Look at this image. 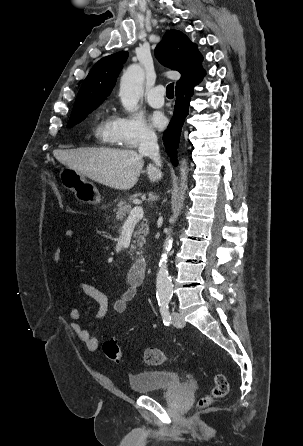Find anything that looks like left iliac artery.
Listing matches in <instances>:
<instances>
[{"label": "left iliac artery", "instance_id": "44dca946", "mask_svg": "<svg viewBox=\"0 0 303 446\" xmlns=\"http://www.w3.org/2000/svg\"><path fill=\"white\" fill-rule=\"evenodd\" d=\"M160 306V313L163 319V323L166 326H169L171 323V316L169 313V299H161L158 301Z\"/></svg>", "mask_w": 303, "mask_h": 446}]
</instances>
